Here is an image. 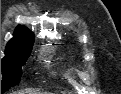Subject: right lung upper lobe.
Returning a JSON list of instances; mask_svg holds the SVG:
<instances>
[{"label":"right lung upper lobe","instance_id":"1","mask_svg":"<svg viewBox=\"0 0 121 94\" xmlns=\"http://www.w3.org/2000/svg\"><path fill=\"white\" fill-rule=\"evenodd\" d=\"M33 36V34L25 27L19 26L15 29L14 37L8 42L7 45L20 42Z\"/></svg>","mask_w":121,"mask_h":94}]
</instances>
